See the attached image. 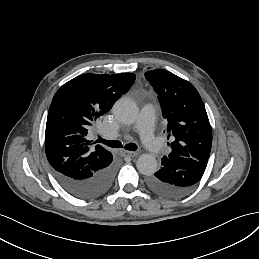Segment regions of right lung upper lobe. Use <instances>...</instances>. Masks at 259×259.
<instances>
[{
    "label": "right lung upper lobe",
    "instance_id": "obj_1",
    "mask_svg": "<svg viewBox=\"0 0 259 259\" xmlns=\"http://www.w3.org/2000/svg\"><path fill=\"white\" fill-rule=\"evenodd\" d=\"M135 78L133 73L84 74L56 92L45 132V152L53 171L86 179L111 164L112 154L99 144L91 146L87 133L130 89Z\"/></svg>",
    "mask_w": 259,
    "mask_h": 259
}]
</instances>
